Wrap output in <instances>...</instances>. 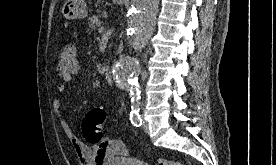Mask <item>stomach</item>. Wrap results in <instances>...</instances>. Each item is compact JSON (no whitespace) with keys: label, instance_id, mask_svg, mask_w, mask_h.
<instances>
[{"label":"stomach","instance_id":"obj_1","mask_svg":"<svg viewBox=\"0 0 276 165\" xmlns=\"http://www.w3.org/2000/svg\"><path fill=\"white\" fill-rule=\"evenodd\" d=\"M115 3L121 4L123 0H114ZM66 19H83L87 16V5L84 0H67L61 10Z\"/></svg>","mask_w":276,"mask_h":165}]
</instances>
